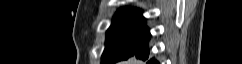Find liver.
<instances>
[{
	"label": "liver",
	"instance_id": "1",
	"mask_svg": "<svg viewBox=\"0 0 242 64\" xmlns=\"http://www.w3.org/2000/svg\"><path fill=\"white\" fill-rule=\"evenodd\" d=\"M121 64H141L140 61H137L135 58H131L127 61L122 62Z\"/></svg>",
	"mask_w": 242,
	"mask_h": 64
}]
</instances>
